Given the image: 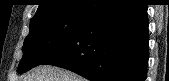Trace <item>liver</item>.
<instances>
[{
	"label": "liver",
	"instance_id": "6515ba94",
	"mask_svg": "<svg viewBox=\"0 0 169 81\" xmlns=\"http://www.w3.org/2000/svg\"><path fill=\"white\" fill-rule=\"evenodd\" d=\"M20 81H84V79L59 67L40 65L21 77Z\"/></svg>",
	"mask_w": 169,
	"mask_h": 81
}]
</instances>
